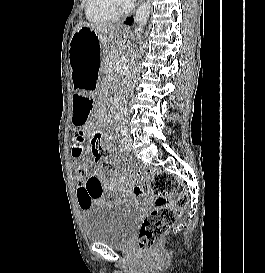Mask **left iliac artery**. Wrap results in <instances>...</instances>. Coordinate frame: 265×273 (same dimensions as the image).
<instances>
[{"instance_id":"44dca946","label":"left iliac artery","mask_w":265,"mask_h":273,"mask_svg":"<svg viewBox=\"0 0 265 273\" xmlns=\"http://www.w3.org/2000/svg\"><path fill=\"white\" fill-rule=\"evenodd\" d=\"M120 132L122 135H127V128L125 126H120Z\"/></svg>"}]
</instances>
